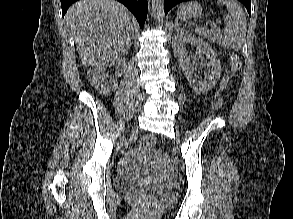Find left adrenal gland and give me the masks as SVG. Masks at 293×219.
I'll return each mask as SVG.
<instances>
[{"mask_svg":"<svg viewBox=\"0 0 293 219\" xmlns=\"http://www.w3.org/2000/svg\"><path fill=\"white\" fill-rule=\"evenodd\" d=\"M177 25H179V21L178 20H176V23H175V26H177Z\"/></svg>","mask_w":293,"mask_h":219,"instance_id":"left-adrenal-gland-1","label":"left adrenal gland"}]
</instances>
